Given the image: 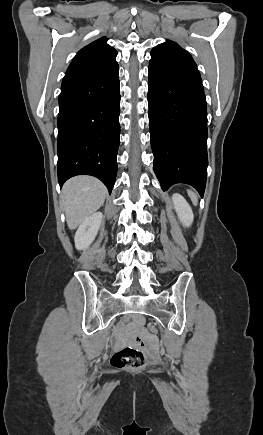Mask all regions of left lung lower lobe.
<instances>
[{
  "instance_id": "1",
  "label": "left lung lower lobe",
  "mask_w": 263,
  "mask_h": 435,
  "mask_svg": "<svg viewBox=\"0 0 263 435\" xmlns=\"http://www.w3.org/2000/svg\"><path fill=\"white\" fill-rule=\"evenodd\" d=\"M148 104L154 172L163 190L175 183L204 194L207 108L202 80L149 62Z\"/></svg>"
}]
</instances>
